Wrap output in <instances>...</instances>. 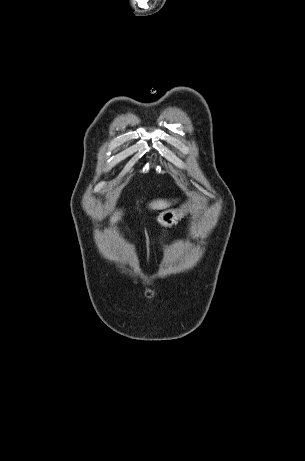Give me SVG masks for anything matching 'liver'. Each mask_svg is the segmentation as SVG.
<instances>
[{
	"label": "liver",
	"mask_w": 305,
	"mask_h": 461,
	"mask_svg": "<svg viewBox=\"0 0 305 461\" xmlns=\"http://www.w3.org/2000/svg\"><path fill=\"white\" fill-rule=\"evenodd\" d=\"M171 205L170 202L162 199L155 200L149 204V207L153 210H162L165 208H168ZM121 216V212H116L112 218H111V223L117 221Z\"/></svg>",
	"instance_id": "liver-1"
}]
</instances>
